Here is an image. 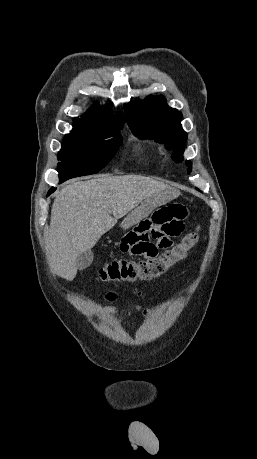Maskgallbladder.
Masks as SVG:
<instances>
[{
	"instance_id": "obj_1",
	"label": "gallbladder",
	"mask_w": 257,
	"mask_h": 459,
	"mask_svg": "<svg viewBox=\"0 0 257 459\" xmlns=\"http://www.w3.org/2000/svg\"><path fill=\"white\" fill-rule=\"evenodd\" d=\"M94 258L92 251H86L79 254L76 258V264L78 269L83 270L90 266Z\"/></svg>"
}]
</instances>
